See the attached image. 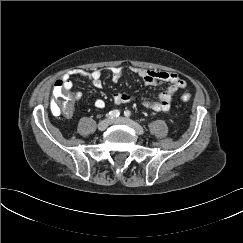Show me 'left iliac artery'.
<instances>
[{"label":"left iliac artery","instance_id":"left-iliac-artery-1","mask_svg":"<svg viewBox=\"0 0 243 243\" xmlns=\"http://www.w3.org/2000/svg\"><path fill=\"white\" fill-rule=\"evenodd\" d=\"M124 115H125L126 117H130L131 112H130L129 110H126V111L124 112Z\"/></svg>","mask_w":243,"mask_h":243}]
</instances>
